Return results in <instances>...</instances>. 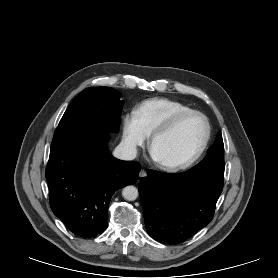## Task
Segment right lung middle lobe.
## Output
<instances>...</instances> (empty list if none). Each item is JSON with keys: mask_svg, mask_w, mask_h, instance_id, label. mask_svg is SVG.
Here are the masks:
<instances>
[{"mask_svg": "<svg viewBox=\"0 0 278 278\" xmlns=\"http://www.w3.org/2000/svg\"><path fill=\"white\" fill-rule=\"evenodd\" d=\"M123 101L112 88L83 90L69 105L55 131L52 146L89 133L118 132Z\"/></svg>", "mask_w": 278, "mask_h": 278, "instance_id": "right-lung-middle-lobe-1", "label": "right lung middle lobe"}]
</instances>
